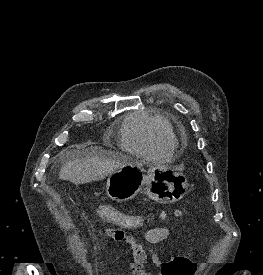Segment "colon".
<instances>
[{
	"mask_svg": "<svg viewBox=\"0 0 263 275\" xmlns=\"http://www.w3.org/2000/svg\"><path fill=\"white\" fill-rule=\"evenodd\" d=\"M94 212L100 220L112 223L124 229L141 228L153 219V217L126 213L110 205H98L95 207ZM181 214L182 211L180 209H175L171 212H161L158 218L166 220L170 216L179 217ZM124 234L126 233L122 230L115 229V238H121ZM193 265L194 263L190 256L180 255L173 257L168 262L165 272L167 275H186V273L192 269Z\"/></svg>",
	"mask_w": 263,
	"mask_h": 275,
	"instance_id": "5ec220e1",
	"label": "colon"
}]
</instances>
